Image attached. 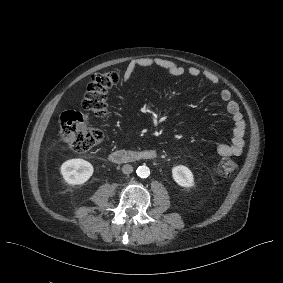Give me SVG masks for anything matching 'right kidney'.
<instances>
[{
	"mask_svg": "<svg viewBox=\"0 0 283 283\" xmlns=\"http://www.w3.org/2000/svg\"><path fill=\"white\" fill-rule=\"evenodd\" d=\"M93 166L84 159H70L61 165V174L70 185H80L89 180L93 174Z\"/></svg>",
	"mask_w": 283,
	"mask_h": 283,
	"instance_id": "obj_1",
	"label": "right kidney"
}]
</instances>
